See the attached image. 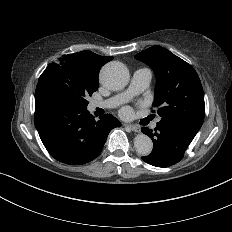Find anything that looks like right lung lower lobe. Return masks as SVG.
Masks as SVG:
<instances>
[{
	"label": "right lung lower lobe",
	"mask_w": 232,
	"mask_h": 232,
	"mask_svg": "<svg viewBox=\"0 0 232 232\" xmlns=\"http://www.w3.org/2000/svg\"><path fill=\"white\" fill-rule=\"evenodd\" d=\"M34 122L48 152L58 161L82 165L102 151L109 132L121 123L106 114L96 121L87 109L50 95L35 96Z\"/></svg>",
	"instance_id": "obj_1"
}]
</instances>
